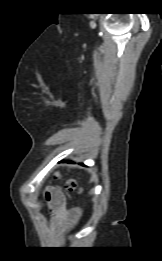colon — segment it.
<instances>
[{"mask_svg": "<svg viewBox=\"0 0 162 261\" xmlns=\"http://www.w3.org/2000/svg\"><path fill=\"white\" fill-rule=\"evenodd\" d=\"M66 187H67L68 191H76V190L79 189L78 184H77V182L75 180H69L67 182Z\"/></svg>", "mask_w": 162, "mask_h": 261, "instance_id": "colon-1", "label": "colon"}]
</instances>
